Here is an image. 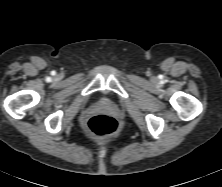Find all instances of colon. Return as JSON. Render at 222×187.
<instances>
[{
  "mask_svg": "<svg viewBox=\"0 0 222 187\" xmlns=\"http://www.w3.org/2000/svg\"><path fill=\"white\" fill-rule=\"evenodd\" d=\"M86 127L92 136L103 138L116 131L117 121L110 115L98 114L88 120Z\"/></svg>",
  "mask_w": 222,
  "mask_h": 187,
  "instance_id": "1",
  "label": "colon"
}]
</instances>
